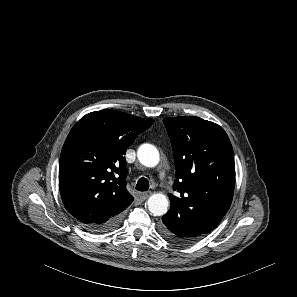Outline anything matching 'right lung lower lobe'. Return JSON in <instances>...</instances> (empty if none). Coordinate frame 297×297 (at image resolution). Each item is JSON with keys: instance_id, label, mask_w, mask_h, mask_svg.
Wrapping results in <instances>:
<instances>
[{"instance_id": "98d812e1", "label": "right lung lower lobe", "mask_w": 297, "mask_h": 297, "mask_svg": "<svg viewBox=\"0 0 297 297\" xmlns=\"http://www.w3.org/2000/svg\"><path fill=\"white\" fill-rule=\"evenodd\" d=\"M122 214L115 215L111 217L109 220L100 223V224H93L87 227H84L86 230L92 233H108L117 228L120 224Z\"/></svg>"}]
</instances>
